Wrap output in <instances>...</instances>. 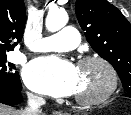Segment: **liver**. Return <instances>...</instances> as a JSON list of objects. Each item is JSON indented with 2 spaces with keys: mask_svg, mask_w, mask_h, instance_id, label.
Returning <instances> with one entry per match:
<instances>
[{
  "mask_svg": "<svg viewBox=\"0 0 131 115\" xmlns=\"http://www.w3.org/2000/svg\"><path fill=\"white\" fill-rule=\"evenodd\" d=\"M18 113L13 108L0 104V115H19Z\"/></svg>",
  "mask_w": 131,
  "mask_h": 115,
  "instance_id": "liver-1",
  "label": "liver"
}]
</instances>
